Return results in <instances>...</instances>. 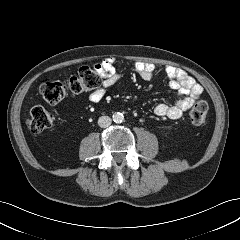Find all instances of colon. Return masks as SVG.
Returning <instances> with one entry per match:
<instances>
[{
  "mask_svg": "<svg viewBox=\"0 0 240 240\" xmlns=\"http://www.w3.org/2000/svg\"><path fill=\"white\" fill-rule=\"evenodd\" d=\"M100 84L98 73L91 67L85 66L79 69L78 73L66 80H44L41 82L39 91L43 99L55 104L66 96L81 94L96 89ZM207 103L198 100L189 112L191 123L202 126L207 116ZM57 121V117L42 106H35L30 113L28 125L33 133H40L52 128Z\"/></svg>",
  "mask_w": 240,
  "mask_h": 240,
  "instance_id": "5ec220e1",
  "label": "colon"
}]
</instances>
